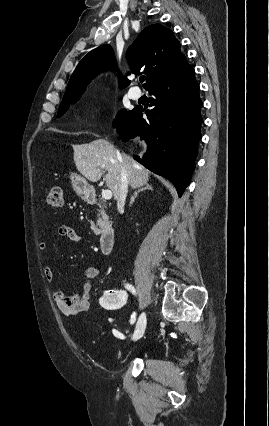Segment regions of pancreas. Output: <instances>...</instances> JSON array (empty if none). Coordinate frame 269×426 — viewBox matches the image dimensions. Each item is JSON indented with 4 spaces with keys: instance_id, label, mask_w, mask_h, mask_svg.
<instances>
[{
    "instance_id": "cf45deb5",
    "label": "pancreas",
    "mask_w": 269,
    "mask_h": 426,
    "mask_svg": "<svg viewBox=\"0 0 269 426\" xmlns=\"http://www.w3.org/2000/svg\"><path fill=\"white\" fill-rule=\"evenodd\" d=\"M105 207H106V205L104 203H102L100 205V211L99 212H100L101 218L99 219L98 223H108L109 222L108 215L106 214V212L104 210ZM91 229L95 234H99V229L97 228V225L94 222H91Z\"/></svg>"
}]
</instances>
